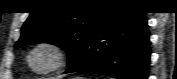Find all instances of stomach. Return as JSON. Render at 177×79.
Returning <instances> with one entry per match:
<instances>
[{
  "label": "stomach",
  "mask_w": 177,
  "mask_h": 79,
  "mask_svg": "<svg viewBox=\"0 0 177 79\" xmlns=\"http://www.w3.org/2000/svg\"><path fill=\"white\" fill-rule=\"evenodd\" d=\"M76 79H80V77H76Z\"/></svg>",
  "instance_id": "0dacf381"
}]
</instances>
